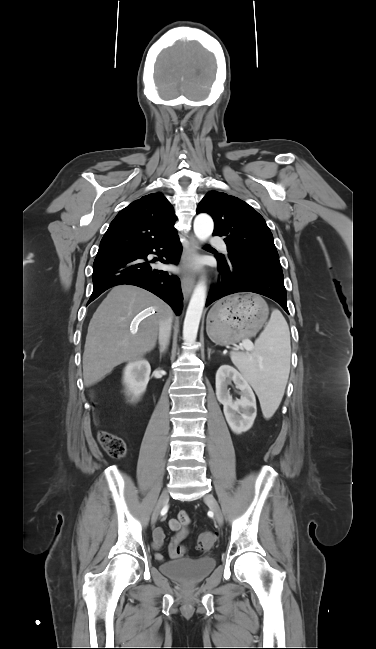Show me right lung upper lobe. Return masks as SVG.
<instances>
[{
  "label": "right lung upper lobe",
  "mask_w": 376,
  "mask_h": 649,
  "mask_svg": "<svg viewBox=\"0 0 376 649\" xmlns=\"http://www.w3.org/2000/svg\"><path fill=\"white\" fill-rule=\"evenodd\" d=\"M176 215L162 193H152L121 210L103 236L97 256L127 252L174 233Z\"/></svg>",
  "instance_id": "obj_1"
}]
</instances>
